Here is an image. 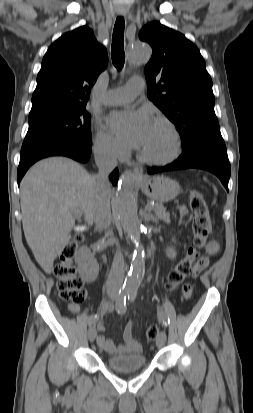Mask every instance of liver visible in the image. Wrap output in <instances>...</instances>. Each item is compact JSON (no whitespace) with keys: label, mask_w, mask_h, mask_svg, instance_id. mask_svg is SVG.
<instances>
[{"label":"liver","mask_w":253,"mask_h":413,"mask_svg":"<svg viewBox=\"0 0 253 413\" xmlns=\"http://www.w3.org/2000/svg\"><path fill=\"white\" fill-rule=\"evenodd\" d=\"M20 189L26 241L38 264L50 274L54 260L71 239L73 211L83 213L88 225L94 220V176L69 158L51 157L28 170Z\"/></svg>","instance_id":"liver-1"}]
</instances>
